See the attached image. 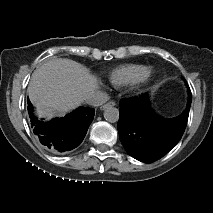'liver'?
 <instances>
[{"label":"liver","mask_w":213,"mask_h":213,"mask_svg":"<svg viewBox=\"0 0 213 213\" xmlns=\"http://www.w3.org/2000/svg\"><path fill=\"white\" fill-rule=\"evenodd\" d=\"M98 88L97 78L81 64L57 58L33 72L27 92L37 115L51 119L76 109Z\"/></svg>","instance_id":"liver-1"}]
</instances>
